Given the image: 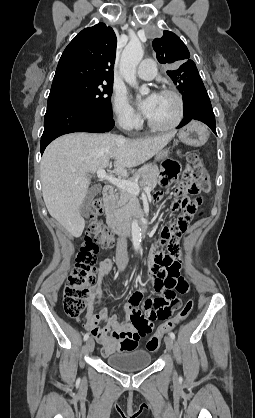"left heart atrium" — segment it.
<instances>
[{"label":"left heart atrium","instance_id":"obj_1","mask_svg":"<svg viewBox=\"0 0 255 418\" xmlns=\"http://www.w3.org/2000/svg\"><path fill=\"white\" fill-rule=\"evenodd\" d=\"M157 99H158V94L157 93H151L145 99L140 101L139 107H140L142 113L145 116H147V117L149 116V114L151 113Z\"/></svg>","mask_w":255,"mask_h":418}]
</instances>
